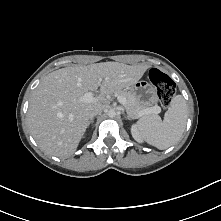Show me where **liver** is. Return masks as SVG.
<instances>
[{
	"mask_svg": "<svg viewBox=\"0 0 221 221\" xmlns=\"http://www.w3.org/2000/svg\"><path fill=\"white\" fill-rule=\"evenodd\" d=\"M148 68L103 62L51 72L30 100L27 122L33 138L47 154L70 157L86 131L90 112L103 108L107 94L136 83ZM99 87L100 95L94 101L82 100L86 92Z\"/></svg>",
	"mask_w": 221,
	"mask_h": 221,
	"instance_id": "6515ba94",
	"label": "liver"
}]
</instances>
